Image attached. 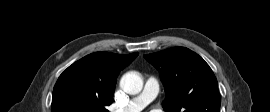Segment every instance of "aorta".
I'll return each mask as SVG.
<instances>
[{
	"label": "aorta",
	"instance_id": "aorta-1",
	"mask_svg": "<svg viewBox=\"0 0 270 112\" xmlns=\"http://www.w3.org/2000/svg\"><path fill=\"white\" fill-rule=\"evenodd\" d=\"M120 87L125 93L135 95L142 90L143 80L137 73L128 72L122 76Z\"/></svg>",
	"mask_w": 270,
	"mask_h": 112
}]
</instances>
